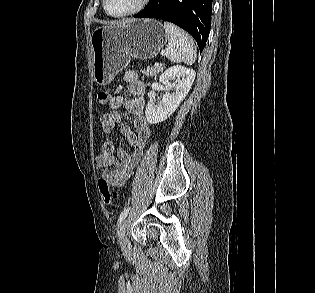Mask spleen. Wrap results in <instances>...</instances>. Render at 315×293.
Here are the masks:
<instances>
[{
	"label": "spleen",
	"instance_id": "spleen-1",
	"mask_svg": "<svg viewBox=\"0 0 315 293\" xmlns=\"http://www.w3.org/2000/svg\"><path fill=\"white\" fill-rule=\"evenodd\" d=\"M168 38L166 57L171 62L192 65L196 59V48L192 37L173 23L164 22Z\"/></svg>",
	"mask_w": 315,
	"mask_h": 293
}]
</instances>
